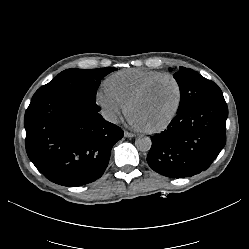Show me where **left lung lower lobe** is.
Instances as JSON below:
<instances>
[{"label": "left lung lower lobe", "mask_w": 249, "mask_h": 249, "mask_svg": "<svg viewBox=\"0 0 249 249\" xmlns=\"http://www.w3.org/2000/svg\"><path fill=\"white\" fill-rule=\"evenodd\" d=\"M227 116L224 98L198 102L178 113L166 130L151 137L148 165L170 178L206 170L225 145Z\"/></svg>", "instance_id": "1"}]
</instances>
